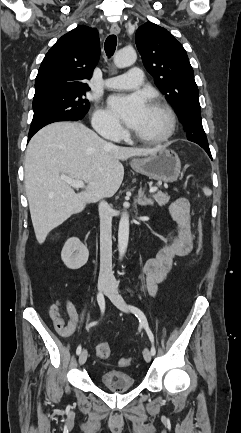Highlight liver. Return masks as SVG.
Segmentation results:
<instances>
[{
    "label": "liver",
    "mask_w": 241,
    "mask_h": 433,
    "mask_svg": "<svg viewBox=\"0 0 241 433\" xmlns=\"http://www.w3.org/2000/svg\"><path fill=\"white\" fill-rule=\"evenodd\" d=\"M162 148L116 146L78 122H56L38 131L28 144L24 165L25 190L38 243L87 204L112 197L124 177L121 160L152 155ZM61 176L87 186L75 193Z\"/></svg>",
    "instance_id": "obj_1"
}]
</instances>
